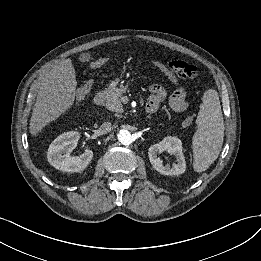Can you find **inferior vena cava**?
<instances>
[{
  "instance_id": "1",
  "label": "inferior vena cava",
  "mask_w": 261,
  "mask_h": 261,
  "mask_svg": "<svg viewBox=\"0 0 261 261\" xmlns=\"http://www.w3.org/2000/svg\"><path fill=\"white\" fill-rule=\"evenodd\" d=\"M113 129L112 124L110 122H104L100 128L99 131L101 134L109 133Z\"/></svg>"
}]
</instances>
